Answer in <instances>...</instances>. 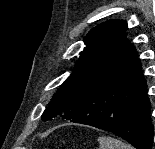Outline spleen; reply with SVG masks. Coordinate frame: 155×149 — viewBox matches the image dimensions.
<instances>
[{"label": "spleen", "mask_w": 155, "mask_h": 149, "mask_svg": "<svg viewBox=\"0 0 155 149\" xmlns=\"http://www.w3.org/2000/svg\"><path fill=\"white\" fill-rule=\"evenodd\" d=\"M98 143L99 149H134L131 145L108 136L98 137Z\"/></svg>", "instance_id": "obj_1"}]
</instances>
